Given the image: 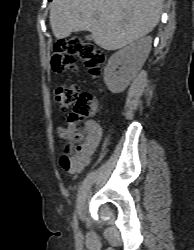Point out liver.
I'll use <instances>...</instances> for the list:
<instances>
[{
    "label": "liver",
    "instance_id": "obj_1",
    "mask_svg": "<svg viewBox=\"0 0 194 250\" xmlns=\"http://www.w3.org/2000/svg\"><path fill=\"white\" fill-rule=\"evenodd\" d=\"M163 0H53L50 25L57 39L89 31L105 50H117L150 33Z\"/></svg>",
    "mask_w": 194,
    "mask_h": 250
}]
</instances>
